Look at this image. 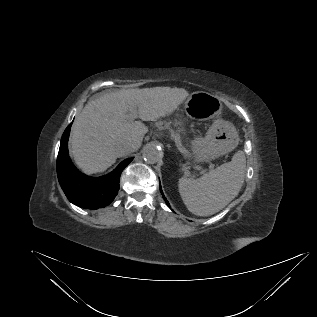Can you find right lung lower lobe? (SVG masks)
<instances>
[{
    "mask_svg": "<svg viewBox=\"0 0 317 317\" xmlns=\"http://www.w3.org/2000/svg\"><path fill=\"white\" fill-rule=\"evenodd\" d=\"M71 124L63 133L59 148L57 158L59 183L68 200L73 204L87 209L105 207L118 194L120 174L132 158L123 161L112 173L103 177L93 178L82 174L75 168L68 155L67 145Z\"/></svg>",
    "mask_w": 317,
    "mask_h": 317,
    "instance_id": "1",
    "label": "right lung lower lobe"
}]
</instances>
